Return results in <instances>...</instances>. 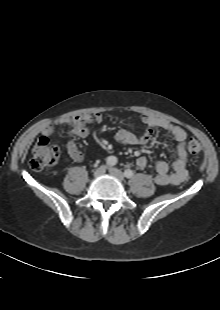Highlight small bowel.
Here are the masks:
<instances>
[{"instance_id":"1","label":"small bowel","mask_w":220,"mask_h":310,"mask_svg":"<svg viewBox=\"0 0 220 310\" xmlns=\"http://www.w3.org/2000/svg\"><path fill=\"white\" fill-rule=\"evenodd\" d=\"M103 117L100 113H82L72 117L63 118L55 123L47 124L42 129V136L50 138L55 130L56 125L69 126V133L75 138H84L89 134V126L93 123H101ZM142 121L145 125V130L142 134L137 135L130 129L122 128L115 133V140L126 145H146L152 138L153 128H161L170 133L177 143L176 154L177 158L172 163V171L165 161H157L154 164L155 176L154 182L160 186L180 185L186 181L188 177L186 141L188 138L187 132L181 127L167 119L144 115ZM66 150L69 158L74 162H81L83 154L79 150L75 140H69L66 143ZM148 165V160L141 156L136 160V166L139 169H145Z\"/></svg>"}]
</instances>
